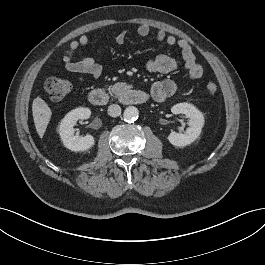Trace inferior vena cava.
<instances>
[{
    "label": "inferior vena cava",
    "mask_w": 265,
    "mask_h": 265,
    "mask_svg": "<svg viewBox=\"0 0 265 265\" xmlns=\"http://www.w3.org/2000/svg\"><path fill=\"white\" fill-rule=\"evenodd\" d=\"M108 114L111 117H117L121 114V107L117 104H112L108 107Z\"/></svg>",
    "instance_id": "1"
}]
</instances>
